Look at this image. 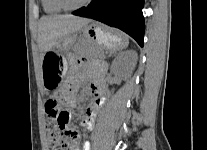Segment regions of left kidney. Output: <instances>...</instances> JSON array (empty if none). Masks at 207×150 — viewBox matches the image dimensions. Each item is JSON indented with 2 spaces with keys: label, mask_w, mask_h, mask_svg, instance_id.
Wrapping results in <instances>:
<instances>
[{
  "label": "left kidney",
  "mask_w": 207,
  "mask_h": 150,
  "mask_svg": "<svg viewBox=\"0 0 207 150\" xmlns=\"http://www.w3.org/2000/svg\"><path fill=\"white\" fill-rule=\"evenodd\" d=\"M137 62V53L133 50L125 51L118 55L112 65L111 72L126 77V72L121 71V67L127 72H132Z\"/></svg>",
  "instance_id": "5707ae66"
}]
</instances>
